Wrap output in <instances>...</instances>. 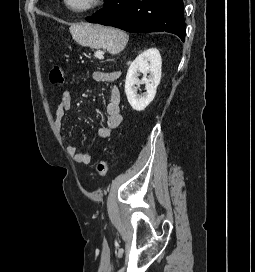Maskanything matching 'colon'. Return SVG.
<instances>
[{
  "mask_svg": "<svg viewBox=\"0 0 255 272\" xmlns=\"http://www.w3.org/2000/svg\"><path fill=\"white\" fill-rule=\"evenodd\" d=\"M50 82L54 85L64 84V72L59 65H54L49 73ZM96 173L100 177H104L108 173V162L106 159H101L96 165Z\"/></svg>",
  "mask_w": 255,
  "mask_h": 272,
  "instance_id": "1",
  "label": "colon"
}]
</instances>
